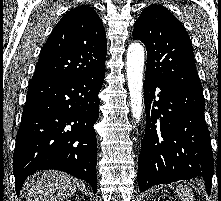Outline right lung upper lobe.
<instances>
[{"mask_svg": "<svg viewBox=\"0 0 221 201\" xmlns=\"http://www.w3.org/2000/svg\"><path fill=\"white\" fill-rule=\"evenodd\" d=\"M106 34L96 11L79 6L68 11L40 51L31 80H61L105 70Z\"/></svg>", "mask_w": 221, "mask_h": 201, "instance_id": "1", "label": "right lung upper lobe"}]
</instances>
